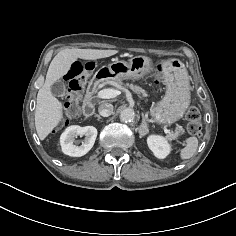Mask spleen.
<instances>
[{"mask_svg": "<svg viewBox=\"0 0 236 236\" xmlns=\"http://www.w3.org/2000/svg\"><path fill=\"white\" fill-rule=\"evenodd\" d=\"M197 147H198V139L196 137L187 138L185 147L180 151L181 159L186 160L191 158L196 153Z\"/></svg>", "mask_w": 236, "mask_h": 236, "instance_id": "spleen-1", "label": "spleen"}]
</instances>
